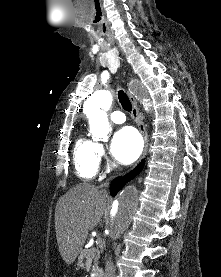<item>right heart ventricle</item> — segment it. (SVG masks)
<instances>
[{
  "mask_svg": "<svg viewBox=\"0 0 221 277\" xmlns=\"http://www.w3.org/2000/svg\"><path fill=\"white\" fill-rule=\"evenodd\" d=\"M73 164L75 173L81 180L93 179L99 169L98 143L80 136L73 148Z\"/></svg>",
  "mask_w": 221,
  "mask_h": 277,
  "instance_id": "1",
  "label": "right heart ventricle"
}]
</instances>
